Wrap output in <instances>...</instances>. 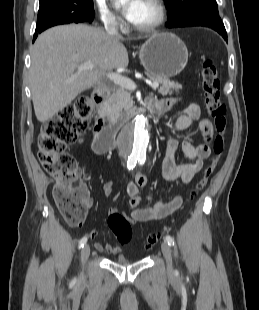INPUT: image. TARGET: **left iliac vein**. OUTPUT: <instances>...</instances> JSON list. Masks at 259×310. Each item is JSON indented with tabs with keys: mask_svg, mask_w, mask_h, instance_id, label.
<instances>
[{
	"mask_svg": "<svg viewBox=\"0 0 259 310\" xmlns=\"http://www.w3.org/2000/svg\"><path fill=\"white\" fill-rule=\"evenodd\" d=\"M161 248H162V253H163L165 260H166L167 272L169 274H171L173 272L171 248H170L168 242H166V241L162 242Z\"/></svg>",
	"mask_w": 259,
	"mask_h": 310,
	"instance_id": "1",
	"label": "left iliac vein"
}]
</instances>
